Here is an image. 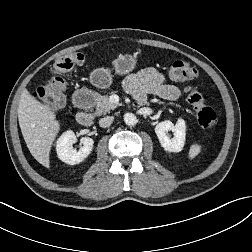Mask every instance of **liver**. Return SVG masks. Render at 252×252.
Wrapping results in <instances>:
<instances>
[{
  "label": "liver",
  "instance_id": "6515ba94",
  "mask_svg": "<svg viewBox=\"0 0 252 252\" xmlns=\"http://www.w3.org/2000/svg\"><path fill=\"white\" fill-rule=\"evenodd\" d=\"M18 120L30 153L41 165L49 168L51 146L60 130L55 113L24 90L19 101Z\"/></svg>",
  "mask_w": 252,
  "mask_h": 252
}]
</instances>
